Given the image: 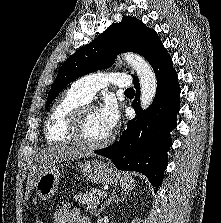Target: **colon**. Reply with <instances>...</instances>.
<instances>
[{
    "label": "colon",
    "instance_id": "5ec220e1",
    "mask_svg": "<svg viewBox=\"0 0 221 223\" xmlns=\"http://www.w3.org/2000/svg\"><path fill=\"white\" fill-rule=\"evenodd\" d=\"M34 223H45V222L43 220L38 219Z\"/></svg>",
    "mask_w": 221,
    "mask_h": 223
}]
</instances>
